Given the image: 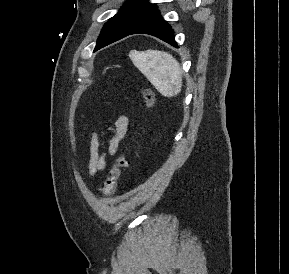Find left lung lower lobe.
<instances>
[{"label":"left lung lower lobe","instance_id":"0a47b994","mask_svg":"<svg viewBox=\"0 0 289 274\" xmlns=\"http://www.w3.org/2000/svg\"><path fill=\"white\" fill-rule=\"evenodd\" d=\"M138 33L149 34V35L158 37L161 40L169 43L170 45L178 48V45L175 41L174 32L171 29V26L160 16L158 10L155 11L149 18H147L144 22H142L133 31L129 32L126 36L131 35V34H138ZM126 36H124V37H126ZM124 37H122V38H124ZM122 38H120V39H122ZM120 39H118V40H120ZM105 46H107V45H105ZM102 47H104V46H102ZM102 47H100V48H102ZM100 48H98V49H100ZM98 49H95L94 51H97Z\"/></svg>","mask_w":289,"mask_h":274}]
</instances>
